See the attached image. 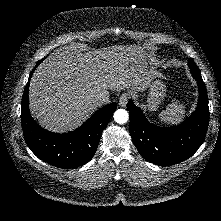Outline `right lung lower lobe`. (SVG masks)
Returning <instances> with one entry per match:
<instances>
[{
    "label": "right lung lower lobe",
    "instance_id": "right-lung-lower-lobe-1",
    "mask_svg": "<svg viewBox=\"0 0 221 221\" xmlns=\"http://www.w3.org/2000/svg\"><path fill=\"white\" fill-rule=\"evenodd\" d=\"M29 80L25 86L21 105L22 130L28 147L39 159L59 168L71 169L88 163L95 154L101 134L116 110L117 104L112 103L99 109L72 132L53 133L39 126L30 115Z\"/></svg>",
    "mask_w": 221,
    "mask_h": 221
}]
</instances>
